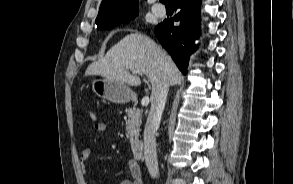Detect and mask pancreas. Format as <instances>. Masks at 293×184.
I'll use <instances>...</instances> for the list:
<instances>
[{
    "label": "pancreas",
    "instance_id": "cf45deb5",
    "mask_svg": "<svg viewBox=\"0 0 293 184\" xmlns=\"http://www.w3.org/2000/svg\"><path fill=\"white\" fill-rule=\"evenodd\" d=\"M128 120L126 121V136L132 142L134 138H137L141 125V111L139 109L128 108L126 109Z\"/></svg>",
    "mask_w": 293,
    "mask_h": 184
}]
</instances>
